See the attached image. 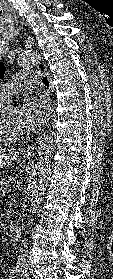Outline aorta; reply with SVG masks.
Listing matches in <instances>:
<instances>
[{
	"mask_svg": "<svg viewBox=\"0 0 113 279\" xmlns=\"http://www.w3.org/2000/svg\"><path fill=\"white\" fill-rule=\"evenodd\" d=\"M40 52L36 49L24 51L19 58V65L23 68L32 67ZM55 146V136L53 132L47 131L38 139V160L32 173L28 194L30 197V214H36L46 193L50 180V155Z\"/></svg>",
	"mask_w": 113,
	"mask_h": 279,
	"instance_id": "aorta-1",
	"label": "aorta"
}]
</instances>
